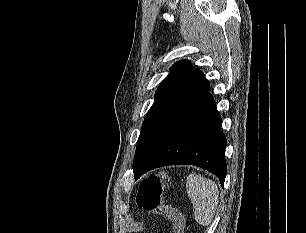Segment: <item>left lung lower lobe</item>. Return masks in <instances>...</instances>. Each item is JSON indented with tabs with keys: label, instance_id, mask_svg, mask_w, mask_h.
<instances>
[{
	"label": "left lung lower lobe",
	"instance_id": "1",
	"mask_svg": "<svg viewBox=\"0 0 306 233\" xmlns=\"http://www.w3.org/2000/svg\"><path fill=\"white\" fill-rule=\"evenodd\" d=\"M226 137L221 117L209 91L159 141L135 173L167 165H195L219 177L223 186L227 174Z\"/></svg>",
	"mask_w": 306,
	"mask_h": 233
}]
</instances>
